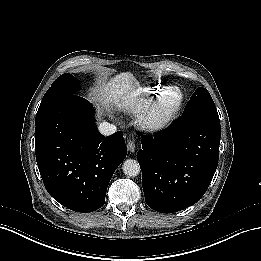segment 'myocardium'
I'll use <instances>...</instances> for the list:
<instances>
[{
    "instance_id": "f54148a6",
    "label": "myocardium",
    "mask_w": 261,
    "mask_h": 261,
    "mask_svg": "<svg viewBox=\"0 0 261 261\" xmlns=\"http://www.w3.org/2000/svg\"><path fill=\"white\" fill-rule=\"evenodd\" d=\"M159 96L154 99L138 116L140 127L146 129H155L166 125L172 120L181 108L182 96L179 95L175 106L167 112H162L158 108Z\"/></svg>"
}]
</instances>
